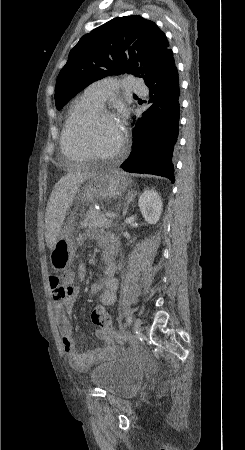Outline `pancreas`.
Returning a JSON list of instances; mask_svg holds the SVG:
<instances>
[{
    "instance_id": "pancreas-1",
    "label": "pancreas",
    "mask_w": 245,
    "mask_h": 450,
    "mask_svg": "<svg viewBox=\"0 0 245 450\" xmlns=\"http://www.w3.org/2000/svg\"><path fill=\"white\" fill-rule=\"evenodd\" d=\"M81 225L89 228H110L114 224L113 221L107 218L103 213L91 208L87 212L85 218L81 221Z\"/></svg>"
}]
</instances>
